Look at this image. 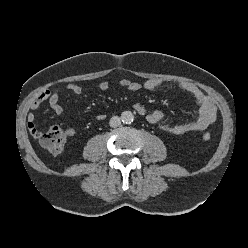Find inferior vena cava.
<instances>
[{"mask_svg": "<svg viewBox=\"0 0 248 248\" xmlns=\"http://www.w3.org/2000/svg\"><path fill=\"white\" fill-rule=\"evenodd\" d=\"M109 125H110V127H112V128H116V127L120 126V125H121V118L118 117V116L112 117V118L110 119V121H109Z\"/></svg>", "mask_w": 248, "mask_h": 248, "instance_id": "obj_1", "label": "inferior vena cava"}]
</instances>
